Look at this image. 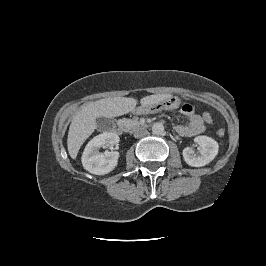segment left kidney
I'll return each instance as SVG.
<instances>
[{"label":"left kidney","instance_id":"5707ae66","mask_svg":"<svg viewBox=\"0 0 266 266\" xmlns=\"http://www.w3.org/2000/svg\"><path fill=\"white\" fill-rule=\"evenodd\" d=\"M194 141L200 146V154L196 155L192 148L186 147L183 150V158L192 167L205 166L216 157L219 145L208 136H197Z\"/></svg>","mask_w":266,"mask_h":266}]
</instances>
